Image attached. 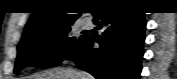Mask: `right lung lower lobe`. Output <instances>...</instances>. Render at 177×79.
I'll return each instance as SVG.
<instances>
[{
	"label": "right lung lower lobe",
	"instance_id": "1",
	"mask_svg": "<svg viewBox=\"0 0 177 79\" xmlns=\"http://www.w3.org/2000/svg\"><path fill=\"white\" fill-rule=\"evenodd\" d=\"M104 32L95 38H84L66 59L97 79H139L146 21L144 12L121 10L118 5L106 7L94 15ZM99 43V47L94 46Z\"/></svg>",
	"mask_w": 177,
	"mask_h": 79
}]
</instances>
